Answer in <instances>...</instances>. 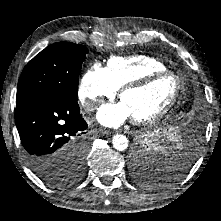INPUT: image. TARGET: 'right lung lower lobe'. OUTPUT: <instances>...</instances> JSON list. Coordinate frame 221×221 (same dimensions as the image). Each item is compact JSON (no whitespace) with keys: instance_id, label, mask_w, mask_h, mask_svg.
I'll return each mask as SVG.
<instances>
[{"instance_id":"obj_1","label":"right lung lower lobe","mask_w":221,"mask_h":221,"mask_svg":"<svg viewBox=\"0 0 221 221\" xmlns=\"http://www.w3.org/2000/svg\"><path fill=\"white\" fill-rule=\"evenodd\" d=\"M15 123L33 171L48 163L61 169L73 149L87 141V123L76 99L46 93L16 103Z\"/></svg>"}]
</instances>
